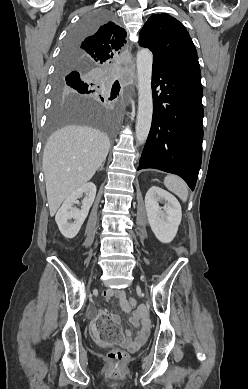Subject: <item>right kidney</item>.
<instances>
[{
	"label": "right kidney",
	"mask_w": 248,
	"mask_h": 389,
	"mask_svg": "<svg viewBox=\"0 0 248 389\" xmlns=\"http://www.w3.org/2000/svg\"><path fill=\"white\" fill-rule=\"evenodd\" d=\"M83 194L86 197L82 201L81 209L78 210L73 206ZM95 195L96 186L93 183H86L71 193L64 201L55 216V221L64 237L72 239L78 234L94 202ZM71 219H74L73 223L69 222Z\"/></svg>",
	"instance_id": "1"
}]
</instances>
